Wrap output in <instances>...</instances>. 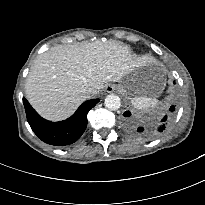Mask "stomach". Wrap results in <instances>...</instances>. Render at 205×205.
<instances>
[{
    "instance_id": "1",
    "label": "stomach",
    "mask_w": 205,
    "mask_h": 205,
    "mask_svg": "<svg viewBox=\"0 0 205 205\" xmlns=\"http://www.w3.org/2000/svg\"><path fill=\"white\" fill-rule=\"evenodd\" d=\"M150 65H144L133 69L118 85V89L129 96L156 97L163 89V81H155L147 78V70Z\"/></svg>"
}]
</instances>
